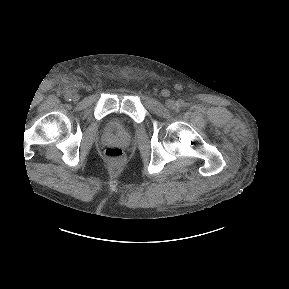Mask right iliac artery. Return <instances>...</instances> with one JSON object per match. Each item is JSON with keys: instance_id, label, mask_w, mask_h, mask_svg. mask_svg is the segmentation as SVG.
<instances>
[{"instance_id": "right-iliac-artery-1", "label": "right iliac artery", "mask_w": 289, "mask_h": 289, "mask_svg": "<svg viewBox=\"0 0 289 289\" xmlns=\"http://www.w3.org/2000/svg\"><path fill=\"white\" fill-rule=\"evenodd\" d=\"M65 99H66L67 101H71L72 95H71L70 93H67V94L65 95Z\"/></svg>"}]
</instances>
